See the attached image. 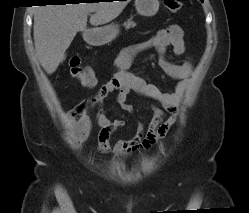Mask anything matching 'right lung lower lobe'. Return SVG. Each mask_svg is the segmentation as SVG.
I'll return each instance as SVG.
<instances>
[{
  "instance_id": "right-lung-lower-lobe-1",
  "label": "right lung lower lobe",
  "mask_w": 249,
  "mask_h": 213,
  "mask_svg": "<svg viewBox=\"0 0 249 213\" xmlns=\"http://www.w3.org/2000/svg\"><path fill=\"white\" fill-rule=\"evenodd\" d=\"M47 2L58 3V5H59V4L66 3V0H47Z\"/></svg>"
}]
</instances>
